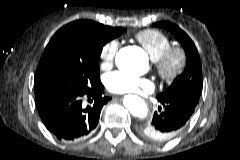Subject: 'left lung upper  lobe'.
Returning a JSON list of instances; mask_svg holds the SVG:
<instances>
[{
	"mask_svg": "<svg viewBox=\"0 0 240 160\" xmlns=\"http://www.w3.org/2000/svg\"><path fill=\"white\" fill-rule=\"evenodd\" d=\"M153 26L168 29L173 33L182 44L187 56L185 71L157 97L182 98L197 104L201 95L203 79L201 60L194 42L183 30L171 22H157Z\"/></svg>",
	"mask_w": 240,
	"mask_h": 160,
	"instance_id": "1",
	"label": "left lung upper lobe"
}]
</instances>
